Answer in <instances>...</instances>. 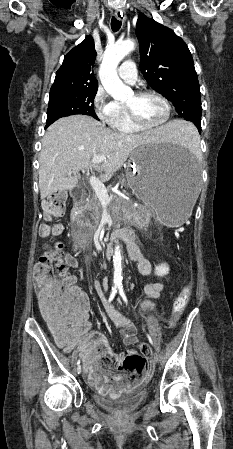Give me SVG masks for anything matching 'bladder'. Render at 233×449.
<instances>
[{"mask_svg": "<svg viewBox=\"0 0 233 449\" xmlns=\"http://www.w3.org/2000/svg\"><path fill=\"white\" fill-rule=\"evenodd\" d=\"M95 403L112 412H127L137 408L146 399L145 391L125 392L116 399L104 397L101 394L95 393Z\"/></svg>", "mask_w": 233, "mask_h": 449, "instance_id": "bladder-1", "label": "bladder"}]
</instances>
